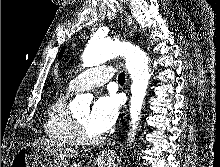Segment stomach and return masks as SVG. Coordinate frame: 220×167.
<instances>
[{"label": "stomach", "instance_id": "stomach-1", "mask_svg": "<svg viewBox=\"0 0 220 167\" xmlns=\"http://www.w3.org/2000/svg\"><path fill=\"white\" fill-rule=\"evenodd\" d=\"M111 162L112 158L105 157L96 160L95 164L97 167H110ZM11 167H80V165L70 163L68 160H55L39 147L29 145L16 153L11 161Z\"/></svg>", "mask_w": 220, "mask_h": 167}]
</instances>
